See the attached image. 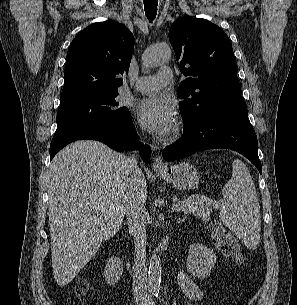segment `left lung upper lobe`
<instances>
[{"label":"left lung upper lobe","mask_w":297,"mask_h":305,"mask_svg":"<svg viewBox=\"0 0 297 305\" xmlns=\"http://www.w3.org/2000/svg\"><path fill=\"white\" fill-rule=\"evenodd\" d=\"M169 40L180 71L189 76L178 88L183 120L241 95L232 45L221 28L206 19L187 16L172 24Z\"/></svg>","instance_id":"left-lung-upper-lobe-1"}]
</instances>
